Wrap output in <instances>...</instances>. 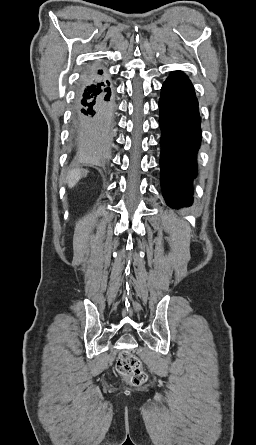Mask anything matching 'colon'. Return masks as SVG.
<instances>
[{
	"instance_id": "5ec220e1",
	"label": "colon",
	"mask_w": 256,
	"mask_h": 445,
	"mask_svg": "<svg viewBox=\"0 0 256 445\" xmlns=\"http://www.w3.org/2000/svg\"><path fill=\"white\" fill-rule=\"evenodd\" d=\"M116 371L134 386L144 384L147 379V376L142 369L141 361L127 350H123L119 354L116 362Z\"/></svg>"
}]
</instances>
